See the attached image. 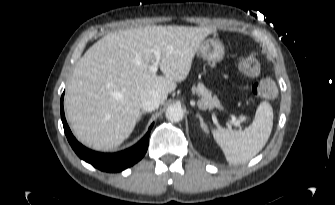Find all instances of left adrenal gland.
Masks as SVG:
<instances>
[{
    "instance_id": "a2214340",
    "label": "left adrenal gland",
    "mask_w": 335,
    "mask_h": 205,
    "mask_svg": "<svg viewBox=\"0 0 335 205\" xmlns=\"http://www.w3.org/2000/svg\"><path fill=\"white\" fill-rule=\"evenodd\" d=\"M196 117L199 118V120H200V125H201L202 130H203L205 133H207V132H208V130H207V125L205 124V122H204L202 116H201L199 113H197V114H196Z\"/></svg>"
}]
</instances>
